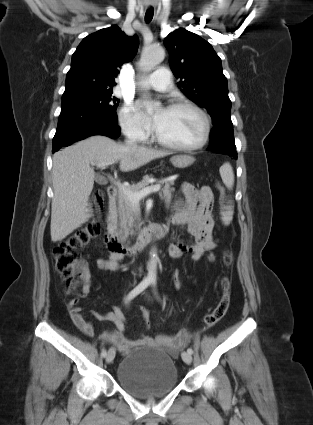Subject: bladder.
Instances as JSON below:
<instances>
[{"label":"bladder","instance_id":"obj_1","mask_svg":"<svg viewBox=\"0 0 313 425\" xmlns=\"http://www.w3.org/2000/svg\"><path fill=\"white\" fill-rule=\"evenodd\" d=\"M116 378L121 388L139 399L164 396L178 384L177 368L169 352L153 346L125 355L117 367Z\"/></svg>","mask_w":313,"mask_h":425}]
</instances>
